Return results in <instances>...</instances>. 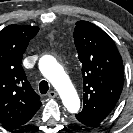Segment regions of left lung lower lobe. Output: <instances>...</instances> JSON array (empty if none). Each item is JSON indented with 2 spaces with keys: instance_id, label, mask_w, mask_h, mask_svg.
Returning <instances> with one entry per match:
<instances>
[{
  "instance_id": "obj_1",
  "label": "left lung lower lobe",
  "mask_w": 133,
  "mask_h": 133,
  "mask_svg": "<svg viewBox=\"0 0 133 133\" xmlns=\"http://www.w3.org/2000/svg\"><path fill=\"white\" fill-rule=\"evenodd\" d=\"M76 118L79 122H81L82 124L87 125V126H96L103 121V119H101V118L91 117V116H89L87 114H83L81 112L76 114Z\"/></svg>"
}]
</instances>
